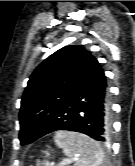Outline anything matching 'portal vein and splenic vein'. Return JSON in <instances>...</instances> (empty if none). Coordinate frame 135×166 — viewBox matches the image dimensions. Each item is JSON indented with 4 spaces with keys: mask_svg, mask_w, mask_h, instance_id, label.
Instances as JSON below:
<instances>
[{
    "mask_svg": "<svg viewBox=\"0 0 135 166\" xmlns=\"http://www.w3.org/2000/svg\"><path fill=\"white\" fill-rule=\"evenodd\" d=\"M69 163H71V161H69V160H64L62 163L57 164V166H65V165H67V164H69ZM45 165H46V166H50V163H46Z\"/></svg>",
    "mask_w": 135,
    "mask_h": 166,
    "instance_id": "1",
    "label": "portal vein and splenic vein"
}]
</instances>
